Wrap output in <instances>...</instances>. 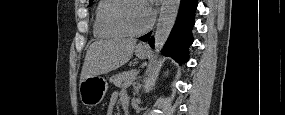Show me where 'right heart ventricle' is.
<instances>
[{
	"label": "right heart ventricle",
	"instance_id": "1",
	"mask_svg": "<svg viewBox=\"0 0 285 115\" xmlns=\"http://www.w3.org/2000/svg\"><path fill=\"white\" fill-rule=\"evenodd\" d=\"M117 1L118 0L98 1L93 19V33L96 37L103 39H117L124 36L122 32L107 21V13Z\"/></svg>",
	"mask_w": 285,
	"mask_h": 115
}]
</instances>
